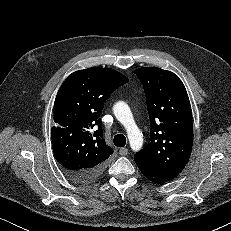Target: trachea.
Instances as JSON below:
<instances>
[{
	"mask_svg": "<svg viewBox=\"0 0 231 231\" xmlns=\"http://www.w3.org/2000/svg\"><path fill=\"white\" fill-rule=\"evenodd\" d=\"M113 142L117 147H124L126 145V137L123 134H117L114 136Z\"/></svg>",
	"mask_w": 231,
	"mask_h": 231,
	"instance_id": "obj_1",
	"label": "trachea"
}]
</instances>
